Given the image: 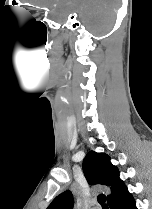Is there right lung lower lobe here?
<instances>
[{
  "instance_id": "right-lung-lower-lobe-1",
  "label": "right lung lower lobe",
  "mask_w": 152,
  "mask_h": 209,
  "mask_svg": "<svg viewBox=\"0 0 152 209\" xmlns=\"http://www.w3.org/2000/svg\"><path fill=\"white\" fill-rule=\"evenodd\" d=\"M108 205L110 209H137L135 200L128 192L126 186Z\"/></svg>"
}]
</instances>
